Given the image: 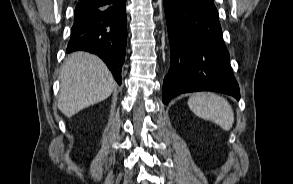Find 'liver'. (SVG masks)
Wrapping results in <instances>:
<instances>
[{"mask_svg": "<svg viewBox=\"0 0 293 184\" xmlns=\"http://www.w3.org/2000/svg\"><path fill=\"white\" fill-rule=\"evenodd\" d=\"M60 81L58 108L68 118L105 100L116 86L104 62L83 51L67 57L61 68Z\"/></svg>", "mask_w": 293, "mask_h": 184, "instance_id": "obj_1", "label": "liver"}]
</instances>
